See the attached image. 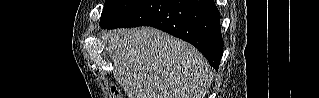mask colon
<instances>
[{
  "instance_id": "1",
  "label": "colon",
  "mask_w": 319,
  "mask_h": 98,
  "mask_svg": "<svg viewBox=\"0 0 319 98\" xmlns=\"http://www.w3.org/2000/svg\"><path fill=\"white\" fill-rule=\"evenodd\" d=\"M111 93H112V96H113V97H115V98H121V94H120V92L117 90V88L112 87V88H111Z\"/></svg>"
}]
</instances>
